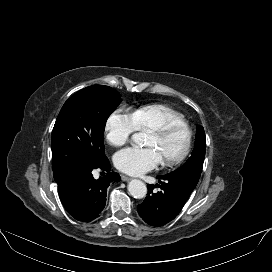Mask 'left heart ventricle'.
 Masks as SVG:
<instances>
[{"label":"left heart ventricle","mask_w":272,"mask_h":272,"mask_svg":"<svg viewBox=\"0 0 272 272\" xmlns=\"http://www.w3.org/2000/svg\"><path fill=\"white\" fill-rule=\"evenodd\" d=\"M185 143V134L183 131H177L167 138L161 139L150 133L146 139L145 145L156 149L161 158L168 159L180 152Z\"/></svg>","instance_id":"1"}]
</instances>
